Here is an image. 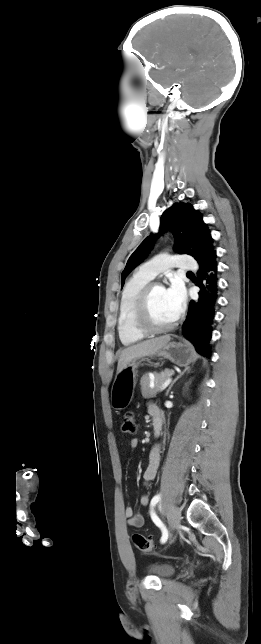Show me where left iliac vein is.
Listing matches in <instances>:
<instances>
[{
  "label": "left iliac vein",
  "instance_id": "1",
  "mask_svg": "<svg viewBox=\"0 0 261 644\" xmlns=\"http://www.w3.org/2000/svg\"><path fill=\"white\" fill-rule=\"evenodd\" d=\"M168 520L171 529H177L181 521V512L177 507H171L168 510Z\"/></svg>",
  "mask_w": 261,
  "mask_h": 644
}]
</instances>
